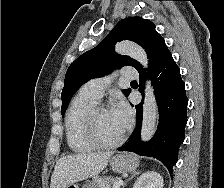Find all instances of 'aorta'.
Returning <instances> with one entry per match:
<instances>
[{"mask_svg": "<svg viewBox=\"0 0 224 188\" xmlns=\"http://www.w3.org/2000/svg\"><path fill=\"white\" fill-rule=\"evenodd\" d=\"M119 54L128 55L137 60L144 68L147 67L148 58L146 52L137 44L130 41H122L115 47ZM157 102L151 82L147 80L145 85V98L143 104V120L141 127V140L149 141L154 135L157 119Z\"/></svg>", "mask_w": 224, "mask_h": 188, "instance_id": "1", "label": "aorta"}]
</instances>
